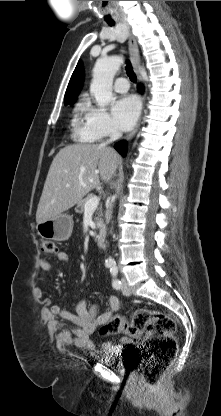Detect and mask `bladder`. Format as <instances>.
Instances as JSON below:
<instances>
[{
    "instance_id": "obj_1",
    "label": "bladder",
    "mask_w": 221,
    "mask_h": 416,
    "mask_svg": "<svg viewBox=\"0 0 221 416\" xmlns=\"http://www.w3.org/2000/svg\"><path fill=\"white\" fill-rule=\"evenodd\" d=\"M101 361L103 364L107 366H113L117 370H122L123 368H125L124 365H116L114 363V354L112 352L107 351L106 349H104L102 352Z\"/></svg>"
}]
</instances>
